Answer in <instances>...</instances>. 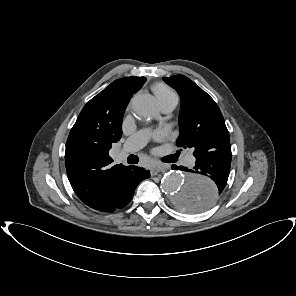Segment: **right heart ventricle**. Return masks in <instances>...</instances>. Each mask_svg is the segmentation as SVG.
<instances>
[{"instance_id":"right-heart-ventricle-1","label":"right heart ventricle","mask_w":296,"mask_h":296,"mask_svg":"<svg viewBox=\"0 0 296 296\" xmlns=\"http://www.w3.org/2000/svg\"><path fill=\"white\" fill-rule=\"evenodd\" d=\"M153 92L155 93L159 102L177 97L176 93L164 83L155 84L153 86Z\"/></svg>"}]
</instances>
